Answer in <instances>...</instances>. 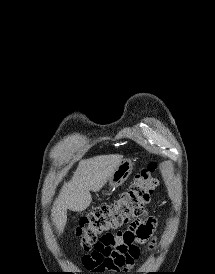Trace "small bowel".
Wrapping results in <instances>:
<instances>
[{
	"instance_id": "c3829d8e",
	"label": "small bowel",
	"mask_w": 215,
	"mask_h": 274,
	"mask_svg": "<svg viewBox=\"0 0 215 274\" xmlns=\"http://www.w3.org/2000/svg\"><path fill=\"white\" fill-rule=\"evenodd\" d=\"M155 229V219L143 216L124 231L109 232L96 242L89 254L83 256L82 264L97 274L128 272L139 258V245L149 242L153 247Z\"/></svg>"
}]
</instances>
